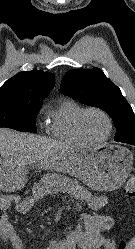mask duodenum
Segmentation results:
<instances>
[{"mask_svg": "<svg viewBox=\"0 0 135 249\" xmlns=\"http://www.w3.org/2000/svg\"><path fill=\"white\" fill-rule=\"evenodd\" d=\"M67 248H71L74 244H78L79 246H82L83 249H86V244H82V241L76 237H70V239L67 240L65 243Z\"/></svg>", "mask_w": 135, "mask_h": 249, "instance_id": "1", "label": "duodenum"}]
</instances>
